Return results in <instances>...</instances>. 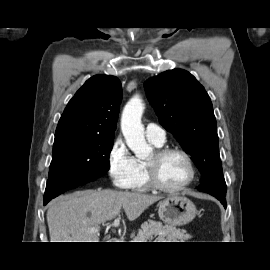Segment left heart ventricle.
I'll return each mask as SVG.
<instances>
[{"instance_id":"1","label":"left heart ventricle","mask_w":270,"mask_h":270,"mask_svg":"<svg viewBox=\"0 0 270 270\" xmlns=\"http://www.w3.org/2000/svg\"><path fill=\"white\" fill-rule=\"evenodd\" d=\"M152 154L147 160H152ZM156 172L159 181L168 187H175L185 182L189 176V169L185 159L177 154H168L156 162Z\"/></svg>"}]
</instances>
